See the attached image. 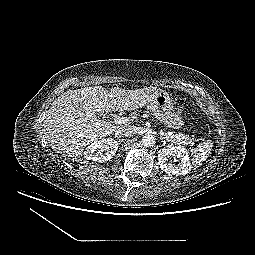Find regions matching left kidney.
I'll return each mask as SVG.
<instances>
[{"mask_svg": "<svg viewBox=\"0 0 255 255\" xmlns=\"http://www.w3.org/2000/svg\"><path fill=\"white\" fill-rule=\"evenodd\" d=\"M158 162L160 168L172 175H186L191 171V163L188 151L182 146H170L169 148L160 149L158 151ZM170 157L174 158L177 165L169 161Z\"/></svg>", "mask_w": 255, "mask_h": 255, "instance_id": "left-kidney-1", "label": "left kidney"}]
</instances>
